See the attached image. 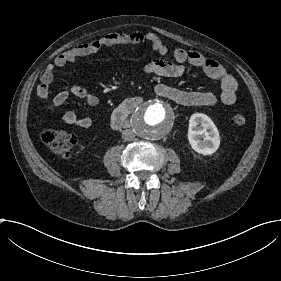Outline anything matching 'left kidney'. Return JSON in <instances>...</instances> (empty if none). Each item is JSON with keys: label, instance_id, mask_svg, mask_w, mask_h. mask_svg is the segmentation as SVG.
<instances>
[{"label": "left kidney", "instance_id": "1", "mask_svg": "<svg viewBox=\"0 0 281 281\" xmlns=\"http://www.w3.org/2000/svg\"><path fill=\"white\" fill-rule=\"evenodd\" d=\"M188 140L191 147L203 155L213 154L220 145V136L217 127L207 115L202 113L191 115Z\"/></svg>", "mask_w": 281, "mask_h": 281}]
</instances>
